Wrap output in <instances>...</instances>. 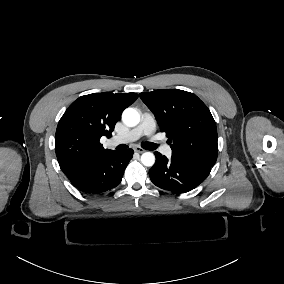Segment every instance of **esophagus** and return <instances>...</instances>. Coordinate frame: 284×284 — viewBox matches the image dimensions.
<instances>
[{"mask_svg": "<svg viewBox=\"0 0 284 284\" xmlns=\"http://www.w3.org/2000/svg\"><path fill=\"white\" fill-rule=\"evenodd\" d=\"M133 150H134L135 152H137V153H143V152H145V150H144L142 147H140V146H134V147H133Z\"/></svg>", "mask_w": 284, "mask_h": 284, "instance_id": "obj_1", "label": "esophagus"}]
</instances>
